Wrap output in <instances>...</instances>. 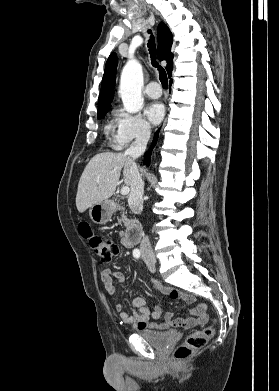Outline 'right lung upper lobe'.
I'll return each instance as SVG.
<instances>
[{
    "mask_svg": "<svg viewBox=\"0 0 279 391\" xmlns=\"http://www.w3.org/2000/svg\"><path fill=\"white\" fill-rule=\"evenodd\" d=\"M158 59L160 61L167 60L166 70L168 76L171 77L173 70V54L171 53L172 46V33L169 28L161 22L158 25ZM117 56L112 53L106 63L105 71L103 75L101 91L98 99V112L109 108L110 103L114 96V85L116 79V68H117Z\"/></svg>",
    "mask_w": 279,
    "mask_h": 391,
    "instance_id": "obj_1",
    "label": "right lung upper lobe"
}]
</instances>
